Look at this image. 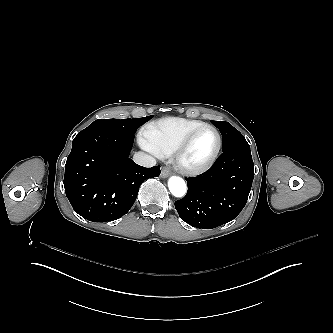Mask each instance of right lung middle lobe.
I'll return each instance as SVG.
<instances>
[{
	"instance_id": "right-lung-middle-lobe-1",
	"label": "right lung middle lobe",
	"mask_w": 333,
	"mask_h": 333,
	"mask_svg": "<svg viewBox=\"0 0 333 333\" xmlns=\"http://www.w3.org/2000/svg\"><path fill=\"white\" fill-rule=\"evenodd\" d=\"M152 116L135 119H98L90 124L83 132L104 130L120 135H125L134 138V134L138 127L150 120Z\"/></svg>"
}]
</instances>
